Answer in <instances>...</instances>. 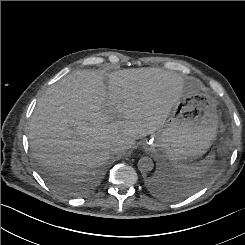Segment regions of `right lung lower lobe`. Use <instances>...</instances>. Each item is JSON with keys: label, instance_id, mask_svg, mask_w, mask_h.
I'll return each mask as SVG.
<instances>
[{"label": "right lung lower lobe", "instance_id": "right-lung-lower-lobe-1", "mask_svg": "<svg viewBox=\"0 0 245 245\" xmlns=\"http://www.w3.org/2000/svg\"><path fill=\"white\" fill-rule=\"evenodd\" d=\"M50 183L54 186V187H59L57 182H55V180L53 179H49Z\"/></svg>", "mask_w": 245, "mask_h": 245}]
</instances>
